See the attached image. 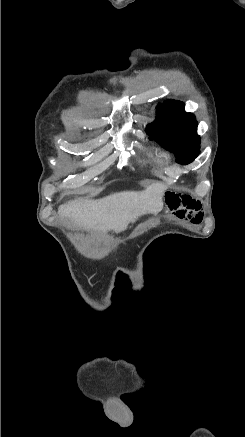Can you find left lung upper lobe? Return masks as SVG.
Returning a JSON list of instances; mask_svg holds the SVG:
<instances>
[{"label": "left lung upper lobe", "mask_w": 245, "mask_h": 437, "mask_svg": "<svg viewBox=\"0 0 245 437\" xmlns=\"http://www.w3.org/2000/svg\"><path fill=\"white\" fill-rule=\"evenodd\" d=\"M157 109L156 120L146 128L149 139L173 152L179 163H191L200 152L195 116L186 113L180 101H165Z\"/></svg>", "instance_id": "obj_1"}]
</instances>
